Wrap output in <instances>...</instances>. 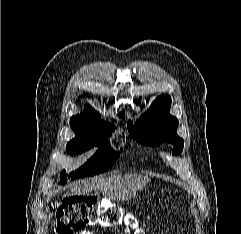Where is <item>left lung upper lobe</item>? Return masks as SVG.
<instances>
[{
	"instance_id": "obj_1",
	"label": "left lung upper lobe",
	"mask_w": 241,
	"mask_h": 234,
	"mask_svg": "<svg viewBox=\"0 0 241 234\" xmlns=\"http://www.w3.org/2000/svg\"><path fill=\"white\" fill-rule=\"evenodd\" d=\"M170 106V96L161 95L134 126L130 122L127 126L130 135L138 142L156 146L166 141L173 145L172 154L179 155L184 141L177 135L178 120L169 113Z\"/></svg>"
}]
</instances>
